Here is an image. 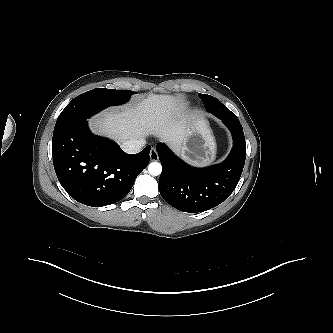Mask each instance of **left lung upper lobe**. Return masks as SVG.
Wrapping results in <instances>:
<instances>
[{"label":"left lung upper lobe","instance_id":"5c2ea615","mask_svg":"<svg viewBox=\"0 0 333 333\" xmlns=\"http://www.w3.org/2000/svg\"><path fill=\"white\" fill-rule=\"evenodd\" d=\"M199 97H200L201 100L203 101L205 108H206L208 111H210V102H212L211 100H216V98L213 97V96L207 95V94H199ZM204 101H206V103H205ZM224 108H225L226 110H229V109H227L226 107H224ZM229 112H230V110H229Z\"/></svg>","mask_w":333,"mask_h":333}]
</instances>
